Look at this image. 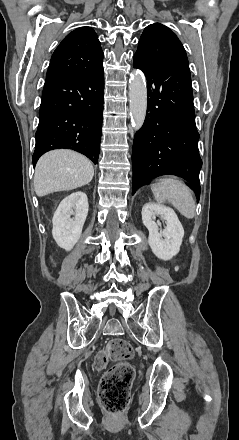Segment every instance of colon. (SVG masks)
I'll return each mask as SVG.
<instances>
[{
	"instance_id": "obj_1",
	"label": "colon",
	"mask_w": 239,
	"mask_h": 440,
	"mask_svg": "<svg viewBox=\"0 0 239 440\" xmlns=\"http://www.w3.org/2000/svg\"><path fill=\"white\" fill-rule=\"evenodd\" d=\"M132 355L131 345L126 340L114 339L96 359L97 369H104L110 363L100 381L99 399L111 414L121 413L129 402L135 377V370L128 362Z\"/></svg>"
}]
</instances>
